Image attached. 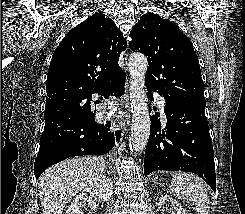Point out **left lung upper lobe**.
<instances>
[{
  "instance_id": "obj_1",
  "label": "left lung upper lobe",
  "mask_w": 245,
  "mask_h": 214,
  "mask_svg": "<svg viewBox=\"0 0 245 214\" xmlns=\"http://www.w3.org/2000/svg\"><path fill=\"white\" fill-rule=\"evenodd\" d=\"M132 51L148 58L146 86L172 103H206L198 57L177 25L153 13L144 14L130 32Z\"/></svg>"
}]
</instances>
